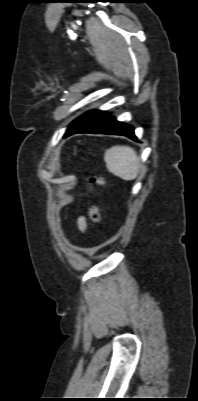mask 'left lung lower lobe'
<instances>
[{"label":"left lung lower lobe","mask_w":198,"mask_h":401,"mask_svg":"<svg viewBox=\"0 0 198 401\" xmlns=\"http://www.w3.org/2000/svg\"><path fill=\"white\" fill-rule=\"evenodd\" d=\"M76 133L124 135L138 141L132 126L118 122L99 110H91L75 120L64 137Z\"/></svg>","instance_id":"0a47b994"}]
</instances>
